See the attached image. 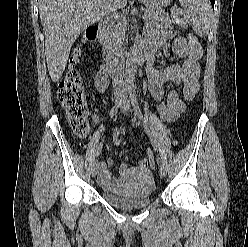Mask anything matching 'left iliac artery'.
Here are the masks:
<instances>
[{
  "label": "left iliac artery",
  "instance_id": "1",
  "mask_svg": "<svg viewBox=\"0 0 248 247\" xmlns=\"http://www.w3.org/2000/svg\"><path fill=\"white\" fill-rule=\"evenodd\" d=\"M130 97H131V103H132V106L134 108V111L136 113V115L138 116L139 119H143V115H142V112L138 106V102H137V99H136V94H135V91L133 89H131V93H130ZM144 123V126H145V129H146V132L150 135V131H149V128L147 126V122L146 120L144 119L143 121ZM151 142L155 148V150H157V146H156V143L154 141V139L151 137Z\"/></svg>",
  "mask_w": 248,
  "mask_h": 247
}]
</instances>
